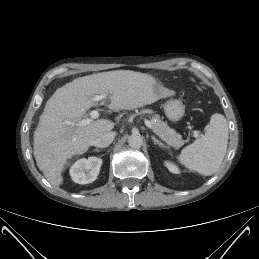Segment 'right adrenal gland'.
I'll return each mask as SVG.
<instances>
[{"label": "right adrenal gland", "mask_w": 259, "mask_h": 259, "mask_svg": "<svg viewBox=\"0 0 259 259\" xmlns=\"http://www.w3.org/2000/svg\"><path fill=\"white\" fill-rule=\"evenodd\" d=\"M93 151H94V152H101L102 150H100V149H94Z\"/></svg>", "instance_id": "1"}]
</instances>
